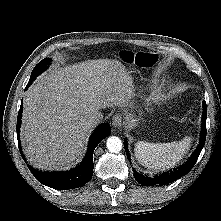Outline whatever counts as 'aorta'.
<instances>
[{"mask_svg": "<svg viewBox=\"0 0 221 221\" xmlns=\"http://www.w3.org/2000/svg\"><path fill=\"white\" fill-rule=\"evenodd\" d=\"M107 149L112 153H118L122 149V141L116 136H111L106 142Z\"/></svg>", "mask_w": 221, "mask_h": 221, "instance_id": "762f6f07", "label": "aorta"}]
</instances>
